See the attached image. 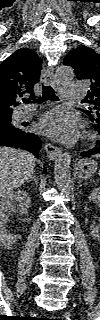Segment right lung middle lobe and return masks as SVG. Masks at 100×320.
Listing matches in <instances>:
<instances>
[{"instance_id": "1", "label": "right lung middle lobe", "mask_w": 100, "mask_h": 320, "mask_svg": "<svg viewBox=\"0 0 100 320\" xmlns=\"http://www.w3.org/2000/svg\"><path fill=\"white\" fill-rule=\"evenodd\" d=\"M21 129H23V128H21ZM21 129L15 128L14 126L11 125V118L0 120V132H2L3 130L20 131Z\"/></svg>"}]
</instances>
